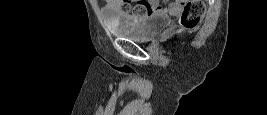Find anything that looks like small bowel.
<instances>
[{"label":"small bowel","mask_w":267,"mask_h":115,"mask_svg":"<svg viewBox=\"0 0 267 115\" xmlns=\"http://www.w3.org/2000/svg\"><path fill=\"white\" fill-rule=\"evenodd\" d=\"M109 8H115L119 6V2L115 1V0H110L108 1V5ZM184 6V2L182 1H174L169 3L167 6L162 7L160 5H155V12H162V13H168L171 15H177L179 13H181L182 9Z\"/></svg>","instance_id":"small-bowel-1"}]
</instances>
